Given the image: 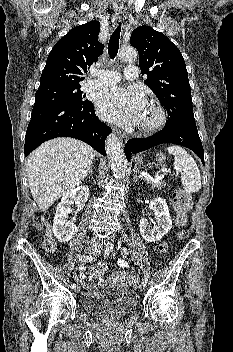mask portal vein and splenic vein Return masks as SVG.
<instances>
[{"label": "portal vein and splenic vein", "mask_w": 233, "mask_h": 352, "mask_svg": "<svg viewBox=\"0 0 233 352\" xmlns=\"http://www.w3.org/2000/svg\"><path fill=\"white\" fill-rule=\"evenodd\" d=\"M141 175L145 178V179H147V180H149V181H151V182H160V180H162V178L165 176V175H167V172H165V173H163V174H161V175H159V176H156L155 178H153V177H151L149 174H147V173H141Z\"/></svg>", "instance_id": "18ae733b"}]
</instances>
